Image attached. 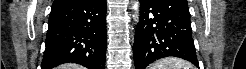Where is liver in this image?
Segmentation results:
<instances>
[{
    "label": "liver",
    "instance_id": "liver-1",
    "mask_svg": "<svg viewBox=\"0 0 246 69\" xmlns=\"http://www.w3.org/2000/svg\"><path fill=\"white\" fill-rule=\"evenodd\" d=\"M59 69H82V67L76 64H65L61 65Z\"/></svg>",
    "mask_w": 246,
    "mask_h": 69
}]
</instances>
